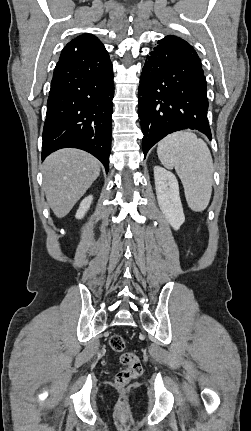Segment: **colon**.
I'll use <instances>...</instances> for the list:
<instances>
[{"mask_svg":"<svg viewBox=\"0 0 251 431\" xmlns=\"http://www.w3.org/2000/svg\"><path fill=\"white\" fill-rule=\"evenodd\" d=\"M109 344L111 349L118 353L123 352L125 349V340L119 334L112 335ZM120 363L123 365V368L115 375V381L120 386L127 385L131 380L138 378L143 372L142 363L134 353H122Z\"/></svg>","mask_w":251,"mask_h":431,"instance_id":"colon-1","label":"colon"}]
</instances>
